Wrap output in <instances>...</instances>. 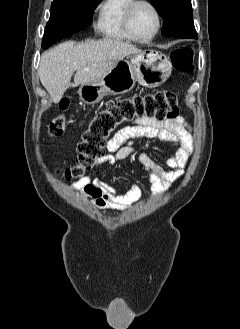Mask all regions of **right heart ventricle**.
I'll use <instances>...</instances> for the list:
<instances>
[{
  "instance_id": "1",
  "label": "right heart ventricle",
  "mask_w": 240,
  "mask_h": 329,
  "mask_svg": "<svg viewBox=\"0 0 240 329\" xmlns=\"http://www.w3.org/2000/svg\"><path fill=\"white\" fill-rule=\"evenodd\" d=\"M133 0H104L100 7L96 29L107 39L128 42L132 39L124 29V16Z\"/></svg>"
}]
</instances>
